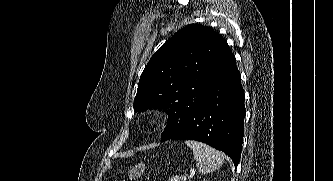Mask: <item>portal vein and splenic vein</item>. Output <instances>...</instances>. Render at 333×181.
<instances>
[{"mask_svg": "<svg viewBox=\"0 0 333 181\" xmlns=\"http://www.w3.org/2000/svg\"><path fill=\"white\" fill-rule=\"evenodd\" d=\"M181 180L182 181H186L187 180V176L186 175L181 176Z\"/></svg>", "mask_w": 333, "mask_h": 181, "instance_id": "1", "label": "portal vein and splenic vein"}]
</instances>
